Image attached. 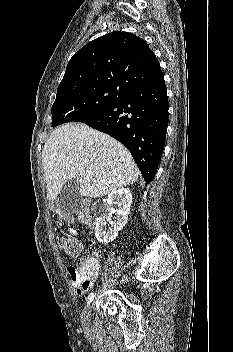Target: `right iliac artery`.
<instances>
[{
	"instance_id": "right-iliac-artery-1",
	"label": "right iliac artery",
	"mask_w": 233,
	"mask_h": 352,
	"mask_svg": "<svg viewBox=\"0 0 233 352\" xmlns=\"http://www.w3.org/2000/svg\"><path fill=\"white\" fill-rule=\"evenodd\" d=\"M127 280V278H125ZM95 294L94 292L90 293L87 297V303L90 304L94 298Z\"/></svg>"
}]
</instances>
